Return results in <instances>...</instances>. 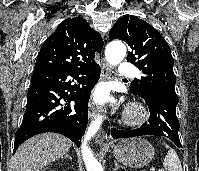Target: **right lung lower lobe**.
Returning a JSON list of instances; mask_svg holds the SVG:
<instances>
[{"instance_id":"obj_1","label":"right lung lower lobe","mask_w":199,"mask_h":171,"mask_svg":"<svg viewBox=\"0 0 199 171\" xmlns=\"http://www.w3.org/2000/svg\"><path fill=\"white\" fill-rule=\"evenodd\" d=\"M99 76L100 66L95 61L73 69L34 71L14 152L25 140L43 132L62 134L79 146L88 121L90 92ZM69 77L78 84L72 85Z\"/></svg>"}]
</instances>
